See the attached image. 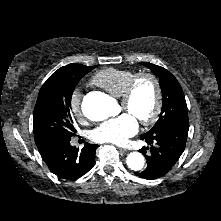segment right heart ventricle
Segmentation results:
<instances>
[{"label":"right heart ventricle","mask_w":221,"mask_h":221,"mask_svg":"<svg viewBox=\"0 0 221 221\" xmlns=\"http://www.w3.org/2000/svg\"><path fill=\"white\" fill-rule=\"evenodd\" d=\"M133 75L134 72L130 70L107 68L95 74L91 82L110 94L120 97L127 82Z\"/></svg>","instance_id":"obj_1"}]
</instances>
